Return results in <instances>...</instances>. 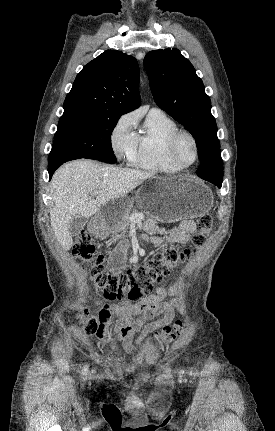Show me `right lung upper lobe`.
I'll return each mask as SVG.
<instances>
[{"mask_svg": "<svg viewBox=\"0 0 275 431\" xmlns=\"http://www.w3.org/2000/svg\"><path fill=\"white\" fill-rule=\"evenodd\" d=\"M139 66L135 58L107 50L85 65L64 101V113L122 115L140 106Z\"/></svg>", "mask_w": 275, "mask_h": 431, "instance_id": "right-lung-upper-lobe-1", "label": "right lung upper lobe"}]
</instances>
